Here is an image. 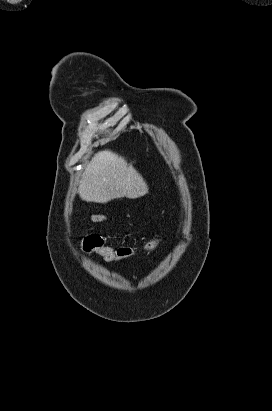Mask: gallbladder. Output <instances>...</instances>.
Here are the masks:
<instances>
[{"label": "gallbladder", "mask_w": 272, "mask_h": 411, "mask_svg": "<svg viewBox=\"0 0 272 411\" xmlns=\"http://www.w3.org/2000/svg\"><path fill=\"white\" fill-rule=\"evenodd\" d=\"M92 220L93 221H102L103 220V217H92Z\"/></svg>", "instance_id": "bac80fb5"}]
</instances>
